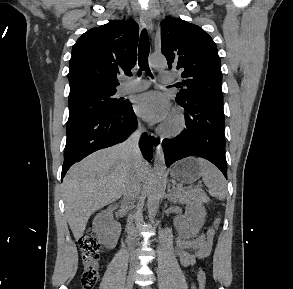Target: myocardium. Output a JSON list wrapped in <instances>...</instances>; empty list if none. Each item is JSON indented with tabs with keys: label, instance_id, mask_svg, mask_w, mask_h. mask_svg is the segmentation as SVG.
Listing matches in <instances>:
<instances>
[{
	"label": "myocardium",
	"instance_id": "1",
	"mask_svg": "<svg viewBox=\"0 0 293 289\" xmlns=\"http://www.w3.org/2000/svg\"><path fill=\"white\" fill-rule=\"evenodd\" d=\"M186 128V119L184 114L177 110L172 113L169 119L161 126L160 132L168 137L180 135Z\"/></svg>",
	"mask_w": 293,
	"mask_h": 289
}]
</instances>
